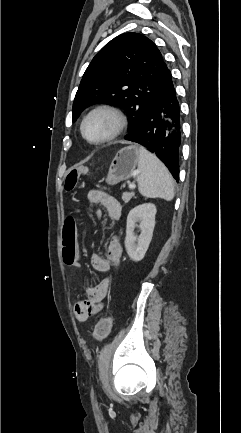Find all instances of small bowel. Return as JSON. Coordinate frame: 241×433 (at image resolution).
<instances>
[{
	"mask_svg": "<svg viewBox=\"0 0 241 433\" xmlns=\"http://www.w3.org/2000/svg\"><path fill=\"white\" fill-rule=\"evenodd\" d=\"M89 200L92 204L100 208L97 212L98 215H101V209H103L110 219H119L121 215V205L111 194L100 190H94L90 192ZM121 257L122 246L120 239L118 237H112L106 248L105 256L93 254L91 256V265L99 272H107L113 266L120 265ZM110 285L111 279L106 278L96 286H88L85 288L86 297L78 301L74 306V316L78 322L86 321L90 317L95 316L102 309Z\"/></svg>",
	"mask_w": 241,
	"mask_h": 433,
	"instance_id": "small-bowel-1",
	"label": "small bowel"
}]
</instances>
